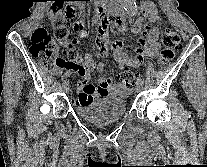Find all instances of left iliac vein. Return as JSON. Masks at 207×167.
<instances>
[{
    "instance_id": "1",
    "label": "left iliac vein",
    "mask_w": 207,
    "mask_h": 167,
    "mask_svg": "<svg viewBox=\"0 0 207 167\" xmlns=\"http://www.w3.org/2000/svg\"><path fill=\"white\" fill-rule=\"evenodd\" d=\"M142 90V84L140 82H137L135 85V91L138 93Z\"/></svg>"
}]
</instances>
